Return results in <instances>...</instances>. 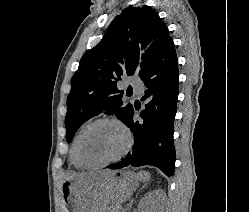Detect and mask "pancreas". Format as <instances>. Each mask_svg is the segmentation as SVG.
<instances>
[{
  "label": "pancreas",
  "instance_id": "1",
  "mask_svg": "<svg viewBox=\"0 0 249 212\" xmlns=\"http://www.w3.org/2000/svg\"><path fill=\"white\" fill-rule=\"evenodd\" d=\"M105 212H118V210H111V208H109V206H107Z\"/></svg>",
  "mask_w": 249,
  "mask_h": 212
}]
</instances>
